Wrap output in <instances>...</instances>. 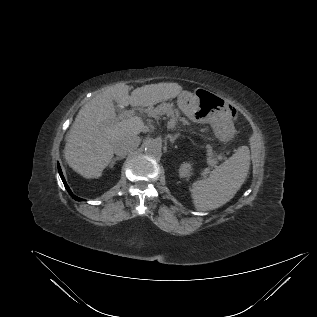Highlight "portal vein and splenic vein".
<instances>
[{
    "label": "portal vein and splenic vein",
    "mask_w": 317,
    "mask_h": 317,
    "mask_svg": "<svg viewBox=\"0 0 317 317\" xmlns=\"http://www.w3.org/2000/svg\"><path fill=\"white\" fill-rule=\"evenodd\" d=\"M125 118H133V119H136V120H140L141 119L140 117L135 116L134 111L126 110V111H123V112L119 113L117 118H116V120H123ZM170 126L174 127V121L173 120L170 121Z\"/></svg>",
    "instance_id": "1"
}]
</instances>
